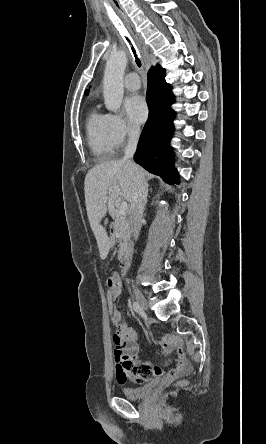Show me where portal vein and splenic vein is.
Wrapping results in <instances>:
<instances>
[{
  "label": "portal vein and splenic vein",
  "instance_id": "18ae733b",
  "mask_svg": "<svg viewBox=\"0 0 266 444\" xmlns=\"http://www.w3.org/2000/svg\"><path fill=\"white\" fill-rule=\"evenodd\" d=\"M127 202L126 201H122L119 207V212L121 215L125 214L126 210H127Z\"/></svg>",
  "mask_w": 266,
  "mask_h": 444
}]
</instances>
